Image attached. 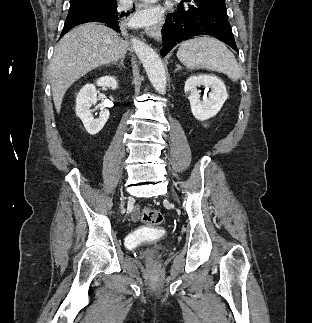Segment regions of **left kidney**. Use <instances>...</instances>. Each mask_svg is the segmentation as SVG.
<instances>
[{"mask_svg": "<svg viewBox=\"0 0 312 323\" xmlns=\"http://www.w3.org/2000/svg\"><path fill=\"white\" fill-rule=\"evenodd\" d=\"M197 86L211 88V92L208 96L205 94L203 100H200V90H197ZM184 92L190 100L193 116L200 122L216 116L228 98L224 82L218 80L216 76H205V74L190 76L185 82Z\"/></svg>", "mask_w": 312, "mask_h": 323, "instance_id": "1", "label": "left kidney"}]
</instances>
